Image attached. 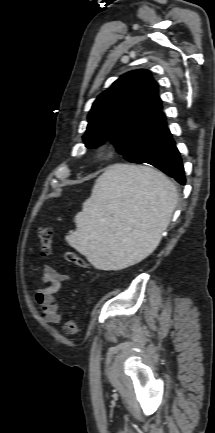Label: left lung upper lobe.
I'll return each mask as SVG.
<instances>
[{
  "label": "left lung upper lobe",
  "mask_w": 215,
  "mask_h": 433,
  "mask_svg": "<svg viewBox=\"0 0 215 433\" xmlns=\"http://www.w3.org/2000/svg\"><path fill=\"white\" fill-rule=\"evenodd\" d=\"M161 109L158 85L149 71L122 75L93 103L83 136L86 147L111 140L129 162L156 166L169 131Z\"/></svg>",
  "instance_id": "1"
}]
</instances>
